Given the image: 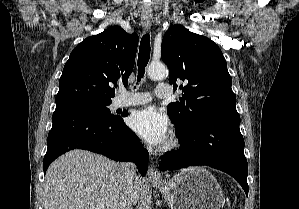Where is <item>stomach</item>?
<instances>
[{"mask_svg": "<svg viewBox=\"0 0 299 209\" xmlns=\"http://www.w3.org/2000/svg\"><path fill=\"white\" fill-rule=\"evenodd\" d=\"M171 209H220L224 197L216 178L205 168L184 169L172 179L153 182Z\"/></svg>", "mask_w": 299, "mask_h": 209, "instance_id": "obj_1", "label": "stomach"}]
</instances>
